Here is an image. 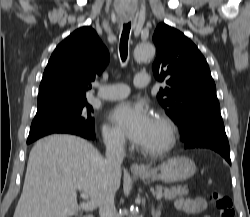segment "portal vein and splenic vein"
<instances>
[{
	"label": "portal vein and splenic vein",
	"instance_id": "obj_1",
	"mask_svg": "<svg viewBox=\"0 0 250 217\" xmlns=\"http://www.w3.org/2000/svg\"><path fill=\"white\" fill-rule=\"evenodd\" d=\"M155 197L158 200V199H161L162 195L161 194H156ZM85 198H88V197L86 196Z\"/></svg>",
	"mask_w": 250,
	"mask_h": 217
}]
</instances>
